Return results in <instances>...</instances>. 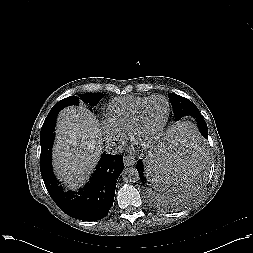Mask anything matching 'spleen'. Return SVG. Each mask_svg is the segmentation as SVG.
I'll list each match as a JSON object with an SVG mask.
<instances>
[{
  "mask_svg": "<svg viewBox=\"0 0 253 253\" xmlns=\"http://www.w3.org/2000/svg\"><path fill=\"white\" fill-rule=\"evenodd\" d=\"M208 155L198 127L187 120L173 123L144 166L142 183L157 200L175 205L188 200L206 178Z\"/></svg>",
  "mask_w": 253,
  "mask_h": 253,
  "instance_id": "obj_1",
  "label": "spleen"
}]
</instances>
